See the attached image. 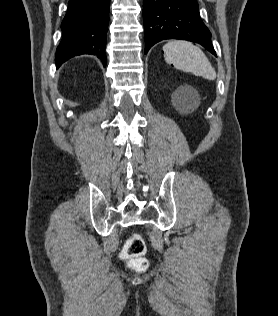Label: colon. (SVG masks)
<instances>
[{"label": "colon", "mask_w": 278, "mask_h": 316, "mask_svg": "<svg viewBox=\"0 0 278 316\" xmlns=\"http://www.w3.org/2000/svg\"><path fill=\"white\" fill-rule=\"evenodd\" d=\"M146 245L139 234L132 235L125 243L122 250V257L129 260L131 265L139 270L147 267V261L144 258Z\"/></svg>", "instance_id": "colon-1"}]
</instances>
